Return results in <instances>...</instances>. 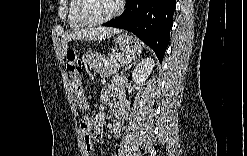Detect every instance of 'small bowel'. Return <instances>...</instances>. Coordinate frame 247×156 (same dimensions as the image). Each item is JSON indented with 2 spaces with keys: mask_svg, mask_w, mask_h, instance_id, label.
I'll return each mask as SVG.
<instances>
[{
  "mask_svg": "<svg viewBox=\"0 0 247 156\" xmlns=\"http://www.w3.org/2000/svg\"><path fill=\"white\" fill-rule=\"evenodd\" d=\"M68 70L70 74L71 86L74 89V92L78 98L79 104L81 107L87 109L88 103L85 100V98L82 96L81 86H80L81 64L76 61H71L68 66ZM111 96H113L115 99L117 109L121 108L123 110L122 118L116 119L113 125V134L116 138H118L121 134L122 124L127 114V103H126L125 95H124L121 85L118 82H115L111 85H107L102 89L101 97L103 101H106ZM84 121H86V117L83 119V122ZM102 123H103V117L102 116L97 117V121L95 124L100 125ZM84 140H85V152L87 154H90L92 150L91 149V139H89L88 137L84 135ZM96 140L102 141L101 132H100V136L96 138Z\"/></svg>",
  "mask_w": 247,
  "mask_h": 156,
  "instance_id": "small-bowel-1",
  "label": "small bowel"
}]
</instances>
